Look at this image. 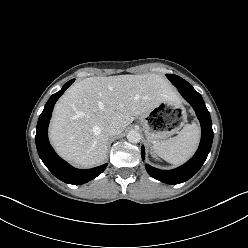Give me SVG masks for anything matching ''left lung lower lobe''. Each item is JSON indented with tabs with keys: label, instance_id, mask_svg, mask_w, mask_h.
<instances>
[{
	"label": "left lung lower lobe",
	"instance_id": "1",
	"mask_svg": "<svg viewBox=\"0 0 248 248\" xmlns=\"http://www.w3.org/2000/svg\"><path fill=\"white\" fill-rule=\"evenodd\" d=\"M181 95L192 105L201 124V141L195 155L184 165L174 170H159L145 165L150 176L167 184H179L195 175L205 162L213 141V130L210 114L202 96L192 89H179ZM141 156L144 159L145 151L142 147Z\"/></svg>",
	"mask_w": 248,
	"mask_h": 248
}]
</instances>
